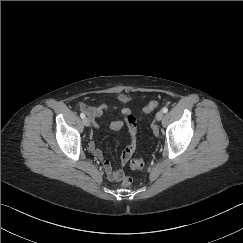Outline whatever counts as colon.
Returning <instances> with one entry per match:
<instances>
[{
	"label": "colon",
	"instance_id": "obj_1",
	"mask_svg": "<svg viewBox=\"0 0 243 243\" xmlns=\"http://www.w3.org/2000/svg\"><path fill=\"white\" fill-rule=\"evenodd\" d=\"M158 106H159L158 101L152 100L145 106L144 110L146 112H150L156 109ZM130 166L134 170L141 169L144 166V161L142 158H135L131 161ZM131 183H132V179L129 176H125L121 179V185L124 187L130 186Z\"/></svg>",
	"mask_w": 243,
	"mask_h": 243
}]
</instances>
